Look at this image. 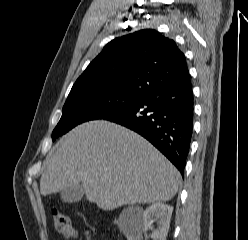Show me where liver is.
I'll list each match as a JSON object with an SVG mask.
<instances>
[{
  "label": "liver",
  "mask_w": 248,
  "mask_h": 240,
  "mask_svg": "<svg viewBox=\"0 0 248 240\" xmlns=\"http://www.w3.org/2000/svg\"><path fill=\"white\" fill-rule=\"evenodd\" d=\"M179 171L137 133L104 120L72 129L54 146L40 179L43 196L82 183L103 210L172 199Z\"/></svg>",
  "instance_id": "6515ba94"
}]
</instances>
